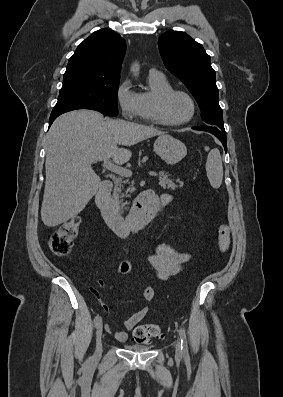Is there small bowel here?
<instances>
[{
    "label": "small bowel",
    "instance_id": "c3829d8e",
    "mask_svg": "<svg viewBox=\"0 0 283 397\" xmlns=\"http://www.w3.org/2000/svg\"><path fill=\"white\" fill-rule=\"evenodd\" d=\"M155 199L159 203L160 207H164L171 203L172 197L166 194L157 195L153 192ZM191 255L187 252L179 251L169 245L160 244L156 247L154 253L150 254L148 260L155 270L156 274L161 279H167L173 275L178 274L183 265L190 259ZM132 270V264L129 261L121 262L117 269L116 275L123 276ZM99 286H101L102 282H97ZM92 292L95 296H99V289H92ZM141 295L144 300L149 303L154 300L156 296V291L153 287L146 286L142 288ZM103 308L108 312V307L103 305ZM149 310L148 305H144L138 311L133 313L128 319L125 320L126 329L130 330L135 327L139 322H141L144 317L147 315ZM106 330L110 332L115 340L118 342H125L128 338V334L124 330H116L112 331L109 326H105Z\"/></svg>",
    "mask_w": 283,
    "mask_h": 397
}]
</instances>
